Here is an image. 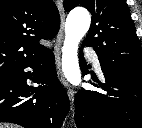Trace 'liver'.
Here are the masks:
<instances>
[{"mask_svg":"<svg viewBox=\"0 0 142 128\" xmlns=\"http://www.w3.org/2000/svg\"><path fill=\"white\" fill-rule=\"evenodd\" d=\"M0 128H17V127H16V126H14V125L1 124V123H0Z\"/></svg>","mask_w":142,"mask_h":128,"instance_id":"obj_1","label":"liver"}]
</instances>
